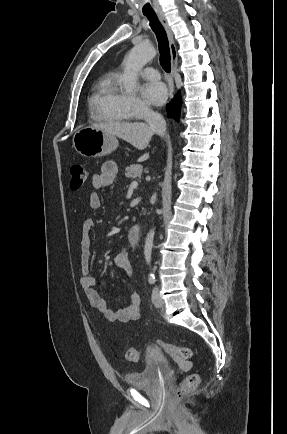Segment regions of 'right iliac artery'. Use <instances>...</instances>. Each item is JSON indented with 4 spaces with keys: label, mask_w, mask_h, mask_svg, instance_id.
Here are the masks:
<instances>
[{
    "label": "right iliac artery",
    "mask_w": 287,
    "mask_h": 434,
    "mask_svg": "<svg viewBox=\"0 0 287 434\" xmlns=\"http://www.w3.org/2000/svg\"><path fill=\"white\" fill-rule=\"evenodd\" d=\"M148 281L150 284H154L156 279H155V275L153 273H150L148 276Z\"/></svg>",
    "instance_id": "right-iliac-artery-1"
}]
</instances>
